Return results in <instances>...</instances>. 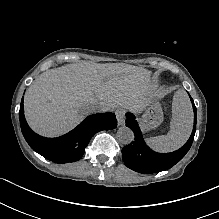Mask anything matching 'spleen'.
Returning <instances> with one entry per match:
<instances>
[{"label":"spleen","instance_id":"1","mask_svg":"<svg viewBox=\"0 0 219 219\" xmlns=\"http://www.w3.org/2000/svg\"><path fill=\"white\" fill-rule=\"evenodd\" d=\"M193 109L187 92L178 89L172 101V119L166 136L146 138L149 148L157 153H172L180 149L193 130Z\"/></svg>","mask_w":219,"mask_h":219}]
</instances>
